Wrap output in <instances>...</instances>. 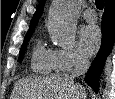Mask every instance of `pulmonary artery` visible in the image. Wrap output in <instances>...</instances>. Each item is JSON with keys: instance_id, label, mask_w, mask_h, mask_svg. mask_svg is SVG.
Masks as SVG:
<instances>
[{"instance_id": "e3ab8cb5", "label": "pulmonary artery", "mask_w": 115, "mask_h": 99, "mask_svg": "<svg viewBox=\"0 0 115 99\" xmlns=\"http://www.w3.org/2000/svg\"><path fill=\"white\" fill-rule=\"evenodd\" d=\"M83 17L89 22H94L97 19V14L93 9L88 8L83 12Z\"/></svg>"}]
</instances>
